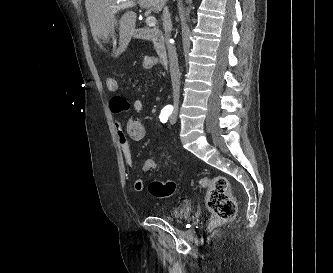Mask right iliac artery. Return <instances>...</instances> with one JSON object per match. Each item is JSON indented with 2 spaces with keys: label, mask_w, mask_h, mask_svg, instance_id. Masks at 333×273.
Instances as JSON below:
<instances>
[{
  "label": "right iliac artery",
  "mask_w": 333,
  "mask_h": 273,
  "mask_svg": "<svg viewBox=\"0 0 333 273\" xmlns=\"http://www.w3.org/2000/svg\"><path fill=\"white\" fill-rule=\"evenodd\" d=\"M173 112V107L172 106H165L162 110H161V113H160V121L162 123H166L169 116L172 114Z\"/></svg>",
  "instance_id": "1"
}]
</instances>
